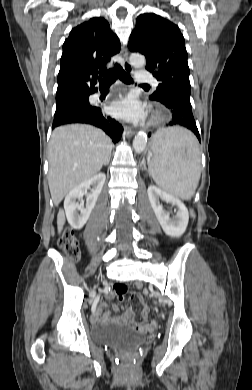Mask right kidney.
<instances>
[{
	"mask_svg": "<svg viewBox=\"0 0 252 390\" xmlns=\"http://www.w3.org/2000/svg\"><path fill=\"white\" fill-rule=\"evenodd\" d=\"M106 176L104 173H99L92 178L82 182L74 189H72L65 197L64 209L67 220L72 228L81 229L87 222L91 211L95 207L98 196L101 193ZM92 186V189H91ZM91 189V192L87 194V190ZM86 195V205L77 202Z\"/></svg>",
	"mask_w": 252,
	"mask_h": 390,
	"instance_id": "obj_1",
	"label": "right kidney"
}]
</instances>
